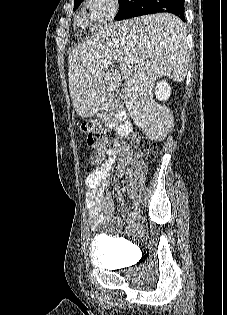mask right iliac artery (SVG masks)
I'll list each match as a JSON object with an SVG mask.
<instances>
[{
    "label": "right iliac artery",
    "instance_id": "obj_1",
    "mask_svg": "<svg viewBox=\"0 0 227 315\" xmlns=\"http://www.w3.org/2000/svg\"><path fill=\"white\" fill-rule=\"evenodd\" d=\"M139 203L137 201L134 202V209L137 210Z\"/></svg>",
    "mask_w": 227,
    "mask_h": 315
}]
</instances>
